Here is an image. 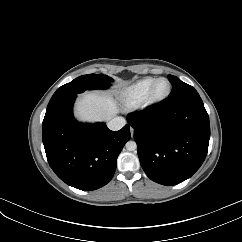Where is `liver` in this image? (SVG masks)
<instances>
[{
	"instance_id": "obj_1",
	"label": "liver",
	"mask_w": 242,
	"mask_h": 242,
	"mask_svg": "<svg viewBox=\"0 0 242 242\" xmlns=\"http://www.w3.org/2000/svg\"><path fill=\"white\" fill-rule=\"evenodd\" d=\"M117 113V104L108 93L86 92L77 100L75 115L83 122L109 120Z\"/></svg>"
}]
</instances>
